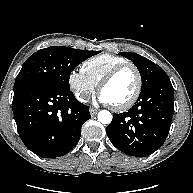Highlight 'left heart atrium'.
I'll list each match as a JSON object with an SVG mask.
<instances>
[{
  "label": "left heart atrium",
  "instance_id": "39dd6f15",
  "mask_svg": "<svg viewBox=\"0 0 193 193\" xmlns=\"http://www.w3.org/2000/svg\"><path fill=\"white\" fill-rule=\"evenodd\" d=\"M98 100H99L101 103L110 104V102L108 101V99H107L103 94H100V95H99Z\"/></svg>",
  "mask_w": 193,
  "mask_h": 193
}]
</instances>
